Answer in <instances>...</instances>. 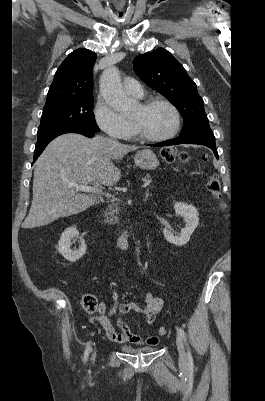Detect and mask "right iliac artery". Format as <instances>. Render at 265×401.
I'll use <instances>...</instances> for the list:
<instances>
[{"label":"right iliac artery","instance_id":"obj_1","mask_svg":"<svg viewBox=\"0 0 265 401\" xmlns=\"http://www.w3.org/2000/svg\"><path fill=\"white\" fill-rule=\"evenodd\" d=\"M90 351H91V346H90V342H89L87 344L86 350L84 352V362L87 361Z\"/></svg>","mask_w":265,"mask_h":401}]
</instances>
